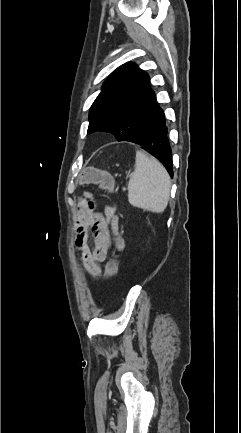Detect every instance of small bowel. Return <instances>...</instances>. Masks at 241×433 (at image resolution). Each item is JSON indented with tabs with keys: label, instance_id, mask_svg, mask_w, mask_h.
Returning a JSON list of instances; mask_svg holds the SVG:
<instances>
[{
	"label": "small bowel",
	"instance_id": "small-bowel-1",
	"mask_svg": "<svg viewBox=\"0 0 241 433\" xmlns=\"http://www.w3.org/2000/svg\"><path fill=\"white\" fill-rule=\"evenodd\" d=\"M96 199L86 192L78 202L74 216L75 243L81 252L83 266L93 277L101 275V264L108 257L112 243L117 250L124 248V239L118 232V218L114 207L107 208L105 214L93 212ZM94 238V248L88 245L89 231ZM114 235V238L113 236Z\"/></svg>",
	"mask_w": 241,
	"mask_h": 433
}]
</instances>
